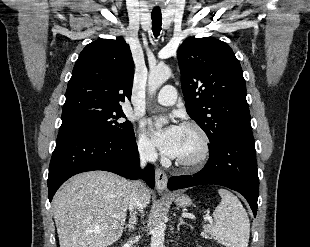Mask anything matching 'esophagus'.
<instances>
[{
    "label": "esophagus",
    "instance_id": "esophagus-1",
    "mask_svg": "<svg viewBox=\"0 0 310 247\" xmlns=\"http://www.w3.org/2000/svg\"><path fill=\"white\" fill-rule=\"evenodd\" d=\"M156 188L159 193L165 192L167 187L168 178L166 173L157 168L155 171Z\"/></svg>",
    "mask_w": 310,
    "mask_h": 247
}]
</instances>
